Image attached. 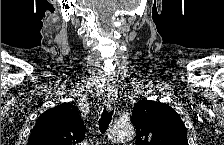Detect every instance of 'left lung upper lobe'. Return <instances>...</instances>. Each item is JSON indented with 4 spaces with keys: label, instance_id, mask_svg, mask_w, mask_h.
I'll use <instances>...</instances> for the list:
<instances>
[{
    "label": "left lung upper lobe",
    "instance_id": "1",
    "mask_svg": "<svg viewBox=\"0 0 224 145\" xmlns=\"http://www.w3.org/2000/svg\"><path fill=\"white\" fill-rule=\"evenodd\" d=\"M131 120L136 128L137 145H188L183 121L164 103L139 100Z\"/></svg>",
    "mask_w": 224,
    "mask_h": 145
}]
</instances>
